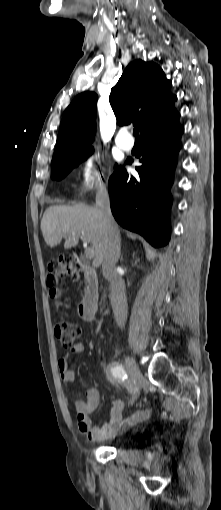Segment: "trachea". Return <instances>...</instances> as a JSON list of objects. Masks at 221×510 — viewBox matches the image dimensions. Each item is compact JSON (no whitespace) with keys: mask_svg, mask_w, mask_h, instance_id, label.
<instances>
[{"mask_svg":"<svg viewBox=\"0 0 221 510\" xmlns=\"http://www.w3.org/2000/svg\"><path fill=\"white\" fill-rule=\"evenodd\" d=\"M133 135L136 137V139H140V137H139V127H135L134 128Z\"/></svg>","mask_w":221,"mask_h":510,"instance_id":"3493384b","label":"trachea"}]
</instances>
